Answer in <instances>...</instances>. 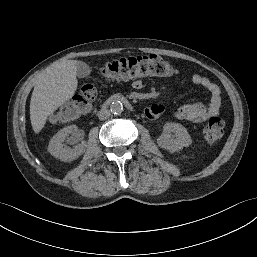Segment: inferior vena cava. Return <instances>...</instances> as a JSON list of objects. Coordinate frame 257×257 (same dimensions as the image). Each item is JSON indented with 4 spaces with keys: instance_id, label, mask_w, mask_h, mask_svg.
Returning a JSON list of instances; mask_svg holds the SVG:
<instances>
[{
    "instance_id": "inferior-vena-cava-1",
    "label": "inferior vena cava",
    "mask_w": 257,
    "mask_h": 257,
    "mask_svg": "<svg viewBox=\"0 0 257 257\" xmlns=\"http://www.w3.org/2000/svg\"><path fill=\"white\" fill-rule=\"evenodd\" d=\"M98 118L100 120H106L110 117V110L108 109H101L99 112H98Z\"/></svg>"
}]
</instances>
